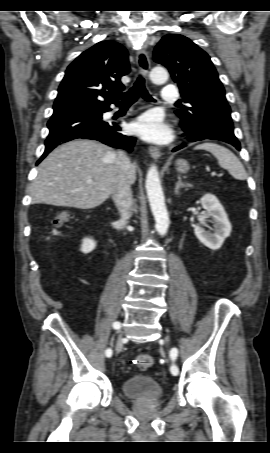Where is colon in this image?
Returning a JSON list of instances; mask_svg holds the SVG:
<instances>
[{
  "mask_svg": "<svg viewBox=\"0 0 270 453\" xmlns=\"http://www.w3.org/2000/svg\"><path fill=\"white\" fill-rule=\"evenodd\" d=\"M67 222V215L60 214L54 220V233L58 235L61 228ZM135 364L138 369L146 370L153 365V357L148 353H140L135 357Z\"/></svg>",
  "mask_w": 270,
  "mask_h": 453,
  "instance_id": "1",
  "label": "colon"
}]
</instances>
